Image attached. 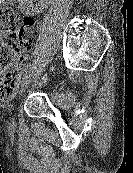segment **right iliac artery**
Segmentation results:
<instances>
[{
	"mask_svg": "<svg viewBox=\"0 0 133 173\" xmlns=\"http://www.w3.org/2000/svg\"><path fill=\"white\" fill-rule=\"evenodd\" d=\"M30 68H31V65H27V66L21 71V75H22L23 77H25V76L27 75V73L29 72Z\"/></svg>",
	"mask_w": 133,
	"mask_h": 173,
	"instance_id": "obj_1",
	"label": "right iliac artery"
}]
</instances>
